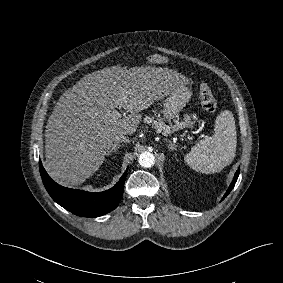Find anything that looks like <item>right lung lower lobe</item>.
<instances>
[{
  "instance_id": "1",
  "label": "right lung lower lobe",
  "mask_w": 283,
  "mask_h": 283,
  "mask_svg": "<svg viewBox=\"0 0 283 283\" xmlns=\"http://www.w3.org/2000/svg\"><path fill=\"white\" fill-rule=\"evenodd\" d=\"M40 174L43 184L52 199L71 213L81 217H98L112 211L120 202L124 192L125 172L114 187L92 193L60 186L47 174L41 161Z\"/></svg>"
}]
</instances>
